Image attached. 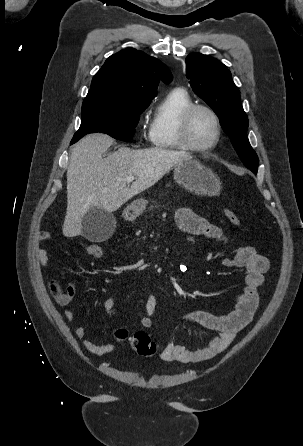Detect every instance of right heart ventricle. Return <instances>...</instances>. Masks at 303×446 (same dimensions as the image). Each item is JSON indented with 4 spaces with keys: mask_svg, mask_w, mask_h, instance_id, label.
Masks as SVG:
<instances>
[{
    "mask_svg": "<svg viewBox=\"0 0 303 446\" xmlns=\"http://www.w3.org/2000/svg\"><path fill=\"white\" fill-rule=\"evenodd\" d=\"M193 103L190 94L183 88H174L163 97L150 121L149 139L154 147L185 149L179 141V120L183 111Z\"/></svg>",
    "mask_w": 303,
    "mask_h": 446,
    "instance_id": "1",
    "label": "right heart ventricle"
}]
</instances>
